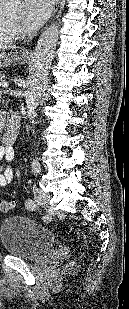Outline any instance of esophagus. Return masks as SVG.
Returning <instances> with one entry per match:
<instances>
[{
	"instance_id": "esophagus-1",
	"label": "esophagus",
	"mask_w": 129,
	"mask_h": 309,
	"mask_svg": "<svg viewBox=\"0 0 129 309\" xmlns=\"http://www.w3.org/2000/svg\"><path fill=\"white\" fill-rule=\"evenodd\" d=\"M59 4H60V0H55V4H54V8H53V14L52 16L57 12L58 8H59ZM24 54H29V50L26 49L23 51Z\"/></svg>"
}]
</instances>
